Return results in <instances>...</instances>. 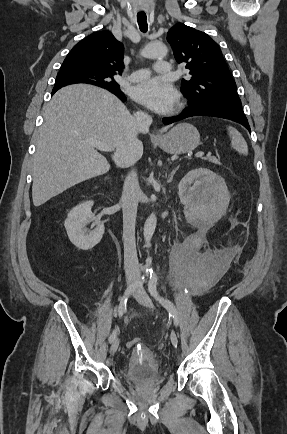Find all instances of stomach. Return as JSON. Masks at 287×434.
<instances>
[{
	"label": "stomach",
	"mask_w": 287,
	"mask_h": 434,
	"mask_svg": "<svg viewBox=\"0 0 287 434\" xmlns=\"http://www.w3.org/2000/svg\"><path fill=\"white\" fill-rule=\"evenodd\" d=\"M200 143L198 130L189 123H180L156 140V144L169 154L193 151Z\"/></svg>",
	"instance_id": "stomach-1"
}]
</instances>
